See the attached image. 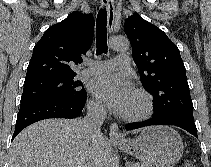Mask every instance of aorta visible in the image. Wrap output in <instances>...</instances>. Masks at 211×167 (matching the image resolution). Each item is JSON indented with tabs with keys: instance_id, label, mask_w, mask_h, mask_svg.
Segmentation results:
<instances>
[{
	"instance_id": "1",
	"label": "aorta",
	"mask_w": 211,
	"mask_h": 167,
	"mask_svg": "<svg viewBox=\"0 0 211 167\" xmlns=\"http://www.w3.org/2000/svg\"><path fill=\"white\" fill-rule=\"evenodd\" d=\"M110 47L114 51L124 52L129 49L130 43L127 38L121 37V36H116L111 39ZM116 167H117V165H116Z\"/></svg>"
}]
</instances>
